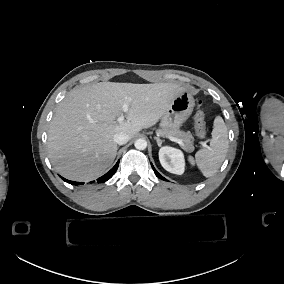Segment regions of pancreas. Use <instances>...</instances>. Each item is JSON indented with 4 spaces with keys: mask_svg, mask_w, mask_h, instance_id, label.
<instances>
[{
    "mask_svg": "<svg viewBox=\"0 0 284 284\" xmlns=\"http://www.w3.org/2000/svg\"><path fill=\"white\" fill-rule=\"evenodd\" d=\"M179 126H176L172 131L167 132L165 130H160L158 133L161 136H172V137H177V138H183V139H191L193 136L190 132H181L178 130ZM186 152H192L194 148L192 146H188L187 148L184 149Z\"/></svg>",
    "mask_w": 284,
    "mask_h": 284,
    "instance_id": "1",
    "label": "pancreas"
}]
</instances>
